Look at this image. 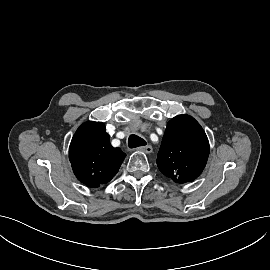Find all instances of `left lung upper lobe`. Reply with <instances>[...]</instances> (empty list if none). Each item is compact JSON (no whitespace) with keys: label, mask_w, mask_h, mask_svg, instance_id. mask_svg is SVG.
<instances>
[{"label":"left lung upper lobe","mask_w":270,"mask_h":270,"mask_svg":"<svg viewBox=\"0 0 270 270\" xmlns=\"http://www.w3.org/2000/svg\"><path fill=\"white\" fill-rule=\"evenodd\" d=\"M209 156L208 138L191 116L178 115L167 124L158 152L159 170L177 183L196 179Z\"/></svg>","instance_id":"1"}]
</instances>
